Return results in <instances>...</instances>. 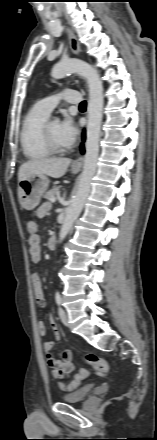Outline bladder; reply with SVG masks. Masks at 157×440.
Returning <instances> with one entry per match:
<instances>
[{
  "label": "bladder",
  "instance_id": "31cf9c89",
  "mask_svg": "<svg viewBox=\"0 0 157 440\" xmlns=\"http://www.w3.org/2000/svg\"><path fill=\"white\" fill-rule=\"evenodd\" d=\"M93 392V386H85L75 391L64 393L61 399L65 403H81L84 402Z\"/></svg>",
  "mask_w": 157,
  "mask_h": 440
}]
</instances>
